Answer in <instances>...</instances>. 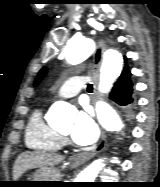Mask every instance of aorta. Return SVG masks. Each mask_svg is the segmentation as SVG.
<instances>
[{
  "instance_id": "762f6f07",
  "label": "aorta",
  "mask_w": 160,
  "mask_h": 187,
  "mask_svg": "<svg viewBox=\"0 0 160 187\" xmlns=\"http://www.w3.org/2000/svg\"><path fill=\"white\" fill-rule=\"evenodd\" d=\"M95 50V42L88 37L72 38L65 49V58L70 64H78L86 60L93 54ZM123 65V57L116 50H107L104 53L103 62L100 70L99 91L107 93L110 91L114 81L120 75ZM72 107L59 101L54 103L49 112L50 121L61 122L70 119ZM96 112L101 126L107 131L120 132L123 123L118 114L105 102L96 104ZM105 166L104 159H98L92 162L88 167L81 171L75 182H94L99 172Z\"/></svg>"
}]
</instances>
